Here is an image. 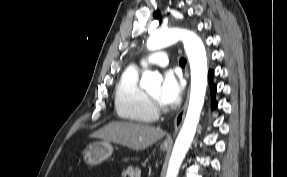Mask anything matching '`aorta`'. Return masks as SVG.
<instances>
[{"label":"aorta","instance_id":"1","mask_svg":"<svg viewBox=\"0 0 287 177\" xmlns=\"http://www.w3.org/2000/svg\"><path fill=\"white\" fill-rule=\"evenodd\" d=\"M181 40L190 63L191 92L187 113L173 146L166 177H177L180 166L188 152L199 123L204 105L207 87V56L202 40L192 31L185 29H166L152 33L147 41L151 51L164 48ZM162 76L158 73L145 71L140 86L150 89L153 84H160Z\"/></svg>","mask_w":287,"mask_h":177}]
</instances>
